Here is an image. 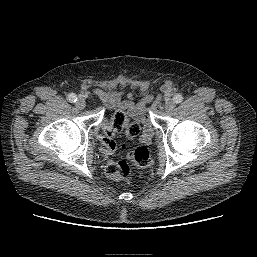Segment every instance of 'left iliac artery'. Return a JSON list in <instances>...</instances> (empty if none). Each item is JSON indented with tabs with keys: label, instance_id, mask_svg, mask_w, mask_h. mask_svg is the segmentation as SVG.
I'll list each match as a JSON object with an SVG mask.
<instances>
[{
	"label": "left iliac artery",
	"instance_id": "left-iliac-artery-1",
	"mask_svg": "<svg viewBox=\"0 0 257 257\" xmlns=\"http://www.w3.org/2000/svg\"><path fill=\"white\" fill-rule=\"evenodd\" d=\"M173 100H174L175 103L178 104V103H180V102L183 101V96L180 95V94H176V95L173 97Z\"/></svg>",
	"mask_w": 257,
	"mask_h": 257
}]
</instances>
